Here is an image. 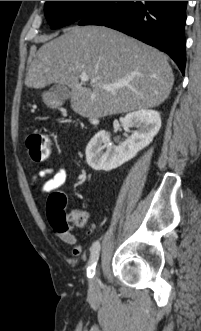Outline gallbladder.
<instances>
[{"label":"gallbladder","mask_w":201,"mask_h":331,"mask_svg":"<svg viewBox=\"0 0 201 331\" xmlns=\"http://www.w3.org/2000/svg\"><path fill=\"white\" fill-rule=\"evenodd\" d=\"M50 94L58 100H67L69 98V89L62 84H54L50 88Z\"/></svg>","instance_id":"gallbladder-1"}]
</instances>
